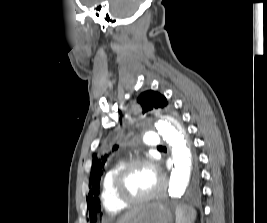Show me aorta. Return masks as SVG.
Segmentation results:
<instances>
[{
	"mask_svg": "<svg viewBox=\"0 0 267 223\" xmlns=\"http://www.w3.org/2000/svg\"><path fill=\"white\" fill-rule=\"evenodd\" d=\"M159 135L166 140L173 154V169L168 185L170 198L181 197L189 182L192 156L186 134L178 120L171 116H160L156 123Z\"/></svg>",
	"mask_w": 267,
	"mask_h": 223,
	"instance_id": "aorta-1",
	"label": "aorta"
}]
</instances>
